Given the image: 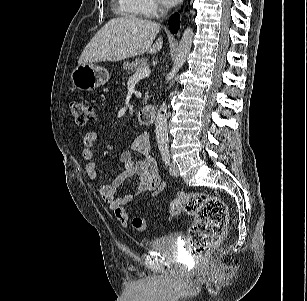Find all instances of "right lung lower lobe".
<instances>
[{
	"label": "right lung lower lobe",
	"mask_w": 307,
	"mask_h": 301,
	"mask_svg": "<svg viewBox=\"0 0 307 301\" xmlns=\"http://www.w3.org/2000/svg\"><path fill=\"white\" fill-rule=\"evenodd\" d=\"M169 29L172 33H177L179 27H180V19H179V15L173 14L170 18H169Z\"/></svg>",
	"instance_id": "right-lung-lower-lobe-1"
}]
</instances>
